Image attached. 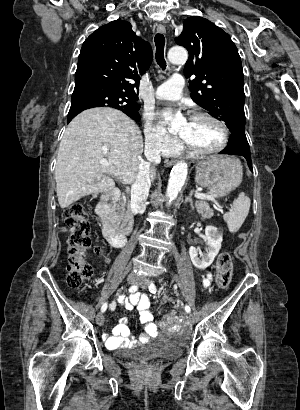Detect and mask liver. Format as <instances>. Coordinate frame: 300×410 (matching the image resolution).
<instances>
[{
    "label": "liver",
    "mask_w": 300,
    "mask_h": 410,
    "mask_svg": "<svg viewBox=\"0 0 300 410\" xmlns=\"http://www.w3.org/2000/svg\"><path fill=\"white\" fill-rule=\"evenodd\" d=\"M142 152L139 127L121 111L100 107L81 112L69 123L59 145L55 180L60 207L112 190L115 182L111 177L126 184L134 182ZM101 159L111 163L102 165ZM149 175L150 180L155 179L153 166Z\"/></svg>",
    "instance_id": "obj_1"
}]
</instances>
